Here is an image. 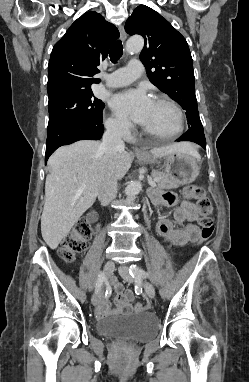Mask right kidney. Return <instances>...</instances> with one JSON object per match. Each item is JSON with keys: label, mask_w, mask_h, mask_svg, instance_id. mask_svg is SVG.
Masks as SVG:
<instances>
[{"label": "right kidney", "mask_w": 249, "mask_h": 382, "mask_svg": "<svg viewBox=\"0 0 249 382\" xmlns=\"http://www.w3.org/2000/svg\"><path fill=\"white\" fill-rule=\"evenodd\" d=\"M89 221L91 224H96L97 223V219H98V213L96 210H91L90 213H89Z\"/></svg>", "instance_id": "obj_1"}]
</instances>
